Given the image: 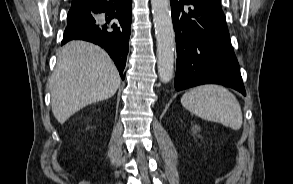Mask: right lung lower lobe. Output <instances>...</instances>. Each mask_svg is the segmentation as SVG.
Here are the masks:
<instances>
[{
    "label": "right lung lower lobe",
    "mask_w": 293,
    "mask_h": 184,
    "mask_svg": "<svg viewBox=\"0 0 293 184\" xmlns=\"http://www.w3.org/2000/svg\"><path fill=\"white\" fill-rule=\"evenodd\" d=\"M131 7V0H93L71 5L62 45L78 39L101 46L113 59L124 80Z\"/></svg>",
    "instance_id": "right-lung-lower-lobe-1"
}]
</instances>
